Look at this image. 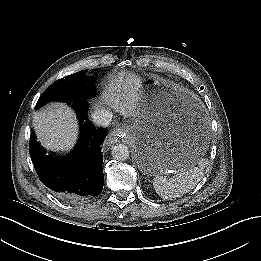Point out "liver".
<instances>
[{"label":"liver","instance_id":"6515ba94","mask_svg":"<svg viewBox=\"0 0 261 261\" xmlns=\"http://www.w3.org/2000/svg\"><path fill=\"white\" fill-rule=\"evenodd\" d=\"M140 77L133 72H120L108 84L103 101L116 109L124 118L137 115ZM98 108V106H96ZM34 128L39 141L48 150L69 151L78 135L74 112L66 104L51 103L34 115Z\"/></svg>","mask_w":261,"mask_h":261}]
</instances>
